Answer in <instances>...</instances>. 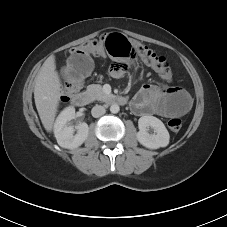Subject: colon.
<instances>
[{
  "mask_svg": "<svg viewBox=\"0 0 227 227\" xmlns=\"http://www.w3.org/2000/svg\"><path fill=\"white\" fill-rule=\"evenodd\" d=\"M75 51L83 52L85 55L100 54L106 51L114 60V63L122 64L126 59L139 56L142 61L155 70L162 79L169 81L172 79L171 67L165 57L156 54L152 49L140 41L126 37L120 33H110L88 40L68 51V56ZM68 65V64H67ZM83 81L77 85L64 83L61 91V99L68 100L76 94L82 86ZM171 131L177 132L182 127V120L174 117L168 121Z\"/></svg>",
  "mask_w": 227,
  "mask_h": 227,
  "instance_id": "obj_1",
  "label": "colon"
}]
</instances>
